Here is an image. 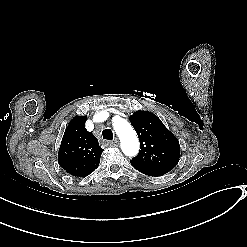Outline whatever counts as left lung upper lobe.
Masks as SVG:
<instances>
[{
    "mask_svg": "<svg viewBox=\"0 0 247 247\" xmlns=\"http://www.w3.org/2000/svg\"><path fill=\"white\" fill-rule=\"evenodd\" d=\"M130 122L140 140V151L130 160L132 166L163 174L171 171L180 157L178 139L151 112L137 111L130 116Z\"/></svg>",
    "mask_w": 247,
    "mask_h": 247,
    "instance_id": "5c2ea615",
    "label": "left lung upper lobe"
}]
</instances>
